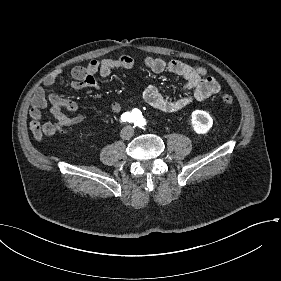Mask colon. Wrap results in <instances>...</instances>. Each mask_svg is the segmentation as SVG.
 <instances>
[{
	"instance_id": "5ec220e1",
	"label": "colon",
	"mask_w": 281,
	"mask_h": 281,
	"mask_svg": "<svg viewBox=\"0 0 281 281\" xmlns=\"http://www.w3.org/2000/svg\"><path fill=\"white\" fill-rule=\"evenodd\" d=\"M221 102L224 105H231L234 102V98L231 95H223L221 96Z\"/></svg>"
}]
</instances>
